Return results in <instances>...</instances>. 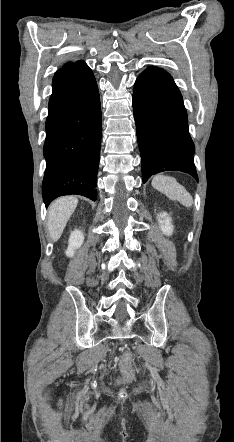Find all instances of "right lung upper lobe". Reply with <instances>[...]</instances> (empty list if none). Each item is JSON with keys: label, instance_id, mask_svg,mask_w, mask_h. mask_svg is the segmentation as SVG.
Returning a JSON list of instances; mask_svg holds the SVG:
<instances>
[{"label": "right lung upper lobe", "instance_id": "obj_1", "mask_svg": "<svg viewBox=\"0 0 234 442\" xmlns=\"http://www.w3.org/2000/svg\"><path fill=\"white\" fill-rule=\"evenodd\" d=\"M83 63H84L83 61L68 62L67 64L62 66L59 70H62V69L68 68V67H72V66H75V65L83 64Z\"/></svg>", "mask_w": 234, "mask_h": 442}]
</instances>
